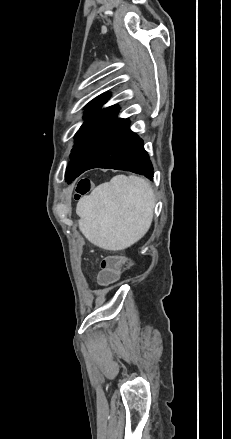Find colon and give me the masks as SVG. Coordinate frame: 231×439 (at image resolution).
Listing matches in <instances>:
<instances>
[{
    "label": "colon",
    "instance_id": "5ec220e1",
    "mask_svg": "<svg viewBox=\"0 0 231 439\" xmlns=\"http://www.w3.org/2000/svg\"><path fill=\"white\" fill-rule=\"evenodd\" d=\"M91 189V182L89 179H81L76 186V198H79ZM126 266V259L121 255H109L104 257L100 262V273L97 274V281L104 289L109 291V287L117 285L120 281V272Z\"/></svg>",
    "mask_w": 231,
    "mask_h": 439
}]
</instances>
